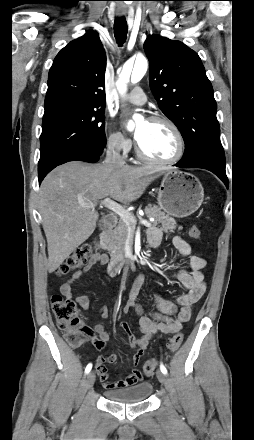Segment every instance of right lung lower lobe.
<instances>
[{
  "instance_id": "right-lung-lower-lobe-1",
  "label": "right lung lower lobe",
  "mask_w": 254,
  "mask_h": 440,
  "mask_svg": "<svg viewBox=\"0 0 254 440\" xmlns=\"http://www.w3.org/2000/svg\"><path fill=\"white\" fill-rule=\"evenodd\" d=\"M104 146L105 143L100 151H79L76 153H72L66 156L64 159L60 160L59 162L50 165L43 173L38 174L39 184L52 169L68 161H85L90 163L97 162L103 153Z\"/></svg>"
}]
</instances>
